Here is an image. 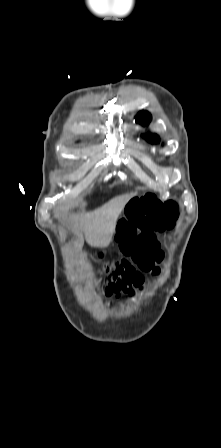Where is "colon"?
Here are the masks:
<instances>
[{"label":"colon","mask_w":221,"mask_h":448,"mask_svg":"<svg viewBox=\"0 0 221 448\" xmlns=\"http://www.w3.org/2000/svg\"><path fill=\"white\" fill-rule=\"evenodd\" d=\"M140 210L146 219L140 217ZM179 215V207L173 200H160L154 195H146L128 208L126 218L117 224V239L126 241L132 235L135 242L129 245L131 258L140 270L157 273L163 255L155 239L156 232L172 228ZM135 224V228L132 227ZM105 285L114 289L139 286L142 283L140 272L129 262L116 261L106 267Z\"/></svg>","instance_id":"5ec220e1"}]
</instances>
